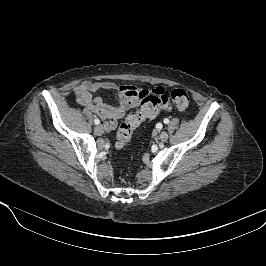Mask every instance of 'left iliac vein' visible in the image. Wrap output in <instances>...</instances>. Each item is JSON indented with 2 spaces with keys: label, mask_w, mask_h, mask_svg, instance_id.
<instances>
[{
  "label": "left iliac vein",
  "mask_w": 266,
  "mask_h": 266,
  "mask_svg": "<svg viewBox=\"0 0 266 266\" xmlns=\"http://www.w3.org/2000/svg\"><path fill=\"white\" fill-rule=\"evenodd\" d=\"M159 139L162 142H166L168 140V133L165 131L161 132Z\"/></svg>",
  "instance_id": "1"
}]
</instances>
